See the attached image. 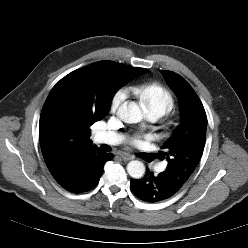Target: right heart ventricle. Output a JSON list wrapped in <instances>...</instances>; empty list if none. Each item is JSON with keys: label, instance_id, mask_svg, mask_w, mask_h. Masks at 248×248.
Wrapping results in <instances>:
<instances>
[{"label": "right heart ventricle", "instance_id": "1", "mask_svg": "<svg viewBox=\"0 0 248 248\" xmlns=\"http://www.w3.org/2000/svg\"><path fill=\"white\" fill-rule=\"evenodd\" d=\"M131 90L149 115L164 116L175 106L173 93L162 84L156 82L141 83L132 87Z\"/></svg>", "mask_w": 248, "mask_h": 248}]
</instances>
